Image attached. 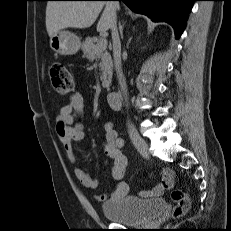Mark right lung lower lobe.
<instances>
[{"label": "right lung lower lobe", "instance_id": "1", "mask_svg": "<svg viewBox=\"0 0 231 231\" xmlns=\"http://www.w3.org/2000/svg\"><path fill=\"white\" fill-rule=\"evenodd\" d=\"M103 1V0H98ZM132 11L145 14L153 21H165L175 30L176 38L184 31L188 13L196 0H118Z\"/></svg>", "mask_w": 231, "mask_h": 231}]
</instances>
